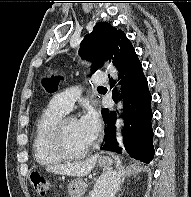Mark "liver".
Returning <instances> with one entry per match:
<instances>
[{"instance_id":"1","label":"liver","mask_w":191,"mask_h":197,"mask_svg":"<svg viewBox=\"0 0 191 197\" xmlns=\"http://www.w3.org/2000/svg\"><path fill=\"white\" fill-rule=\"evenodd\" d=\"M98 154L84 160L66 164H55L46 167V171L67 176L82 177L88 175L97 162Z\"/></svg>"}]
</instances>
